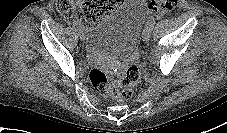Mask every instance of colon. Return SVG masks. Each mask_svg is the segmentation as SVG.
<instances>
[{"label":"colon","instance_id":"5ec220e1","mask_svg":"<svg viewBox=\"0 0 227 133\" xmlns=\"http://www.w3.org/2000/svg\"><path fill=\"white\" fill-rule=\"evenodd\" d=\"M122 0H57L56 9L63 17H77L89 27L100 21L106 14L121 4ZM177 4L176 0H148V8L153 13L168 14ZM92 86L102 95L116 101L130 99L140 83L141 73L136 65H131L118 74H109L101 69L89 73Z\"/></svg>","mask_w":227,"mask_h":133}]
</instances>
